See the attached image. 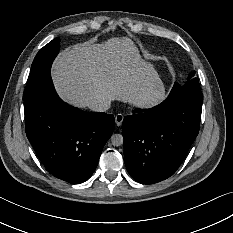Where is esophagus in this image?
Masks as SVG:
<instances>
[{
  "mask_svg": "<svg viewBox=\"0 0 233 233\" xmlns=\"http://www.w3.org/2000/svg\"><path fill=\"white\" fill-rule=\"evenodd\" d=\"M123 119H124V116L121 113L117 114L115 116V123H116V125L120 126L122 124V122H123Z\"/></svg>",
  "mask_w": 233,
  "mask_h": 233,
  "instance_id": "obj_1",
  "label": "esophagus"
}]
</instances>
